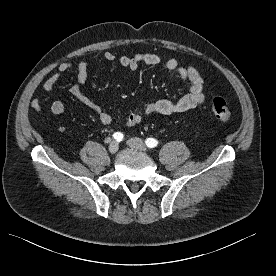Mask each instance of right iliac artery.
<instances>
[{"mask_svg":"<svg viewBox=\"0 0 276 276\" xmlns=\"http://www.w3.org/2000/svg\"><path fill=\"white\" fill-rule=\"evenodd\" d=\"M113 138L116 140V141H122L123 140V138H124V135H123V133H121V132H115L114 134H113Z\"/></svg>","mask_w":276,"mask_h":276,"instance_id":"obj_1","label":"right iliac artery"}]
</instances>
